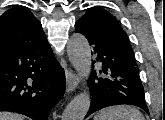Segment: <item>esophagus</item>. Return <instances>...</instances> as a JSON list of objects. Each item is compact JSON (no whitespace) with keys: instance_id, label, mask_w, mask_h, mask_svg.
<instances>
[{"instance_id":"esophagus-1","label":"esophagus","mask_w":165,"mask_h":120,"mask_svg":"<svg viewBox=\"0 0 165 120\" xmlns=\"http://www.w3.org/2000/svg\"><path fill=\"white\" fill-rule=\"evenodd\" d=\"M79 83V77L76 73H74L72 70H68L66 72V86H67V91L72 92L75 90Z\"/></svg>"}]
</instances>
